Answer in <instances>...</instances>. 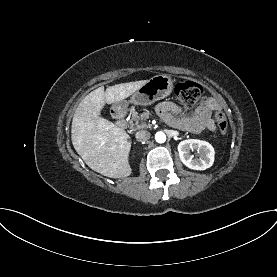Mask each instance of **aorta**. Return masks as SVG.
Masks as SVG:
<instances>
[{"instance_id": "1", "label": "aorta", "mask_w": 277, "mask_h": 277, "mask_svg": "<svg viewBox=\"0 0 277 277\" xmlns=\"http://www.w3.org/2000/svg\"><path fill=\"white\" fill-rule=\"evenodd\" d=\"M155 140L158 143H164L166 141V135L163 132H157L155 134Z\"/></svg>"}]
</instances>
